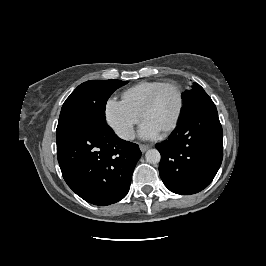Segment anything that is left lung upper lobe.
Instances as JSON below:
<instances>
[{"instance_id":"1","label":"left lung upper lobe","mask_w":266,"mask_h":266,"mask_svg":"<svg viewBox=\"0 0 266 266\" xmlns=\"http://www.w3.org/2000/svg\"><path fill=\"white\" fill-rule=\"evenodd\" d=\"M207 98H209V96L204 89L199 84L195 83L190 90H186L183 93L184 107L182 110V115L199 101L205 100Z\"/></svg>"}]
</instances>
